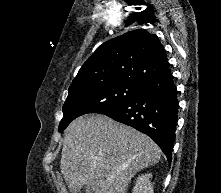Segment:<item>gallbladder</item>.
Here are the masks:
<instances>
[{
  "label": "gallbladder",
  "mask_w": 221,
  "mask_h": 193,
  "mask_svg": "<svg viewBox=\"0 0 221 193\" xmlns=\"http://www.w3.org/2000/svg\"><path fill=\"white\" fill-rule=\"evenodd\" d=\"M95 186V183L92 184L91 188Z\"/></svg>",
  "instance_id": "1"
}]
</instances>
